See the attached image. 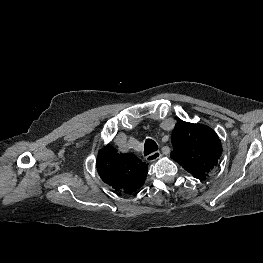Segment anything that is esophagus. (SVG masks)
I'll use <instances>...</instances> for the list:
<instances>
[{"mask_svg": "<svg viewBox=\"0 0 263 263\" xmlns=\"http://www.w3.org/2000/svg\"><path fill=\"white\" fill-rule=\"evenodd\" d=\"M160 157H161V152L160 151H155V152L149 154L146 157V160L148 162H154V161L158 160Z\"/></svg>", "mask_w": 263, "mask_h": 263, "instance_id": "34e87169", "label": "esophagus"}]
</instances>
